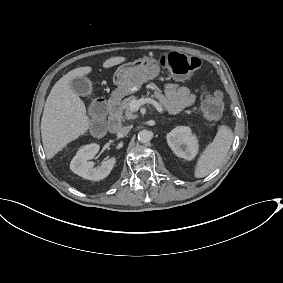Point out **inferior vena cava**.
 <instances>
[{
    "instance_id": "obj_1",
    "label": "inferior vena cava",
    "mask_w": 283,
    "mask_h": 283,
    "mask_svg": "<svg viewBox=\"0 0 283 283\" xmlns=\"http://www.w3.org/2000/svg\"><path fill=\"white\" fill-rule=\"evenodd\" d=\"M131 128H132V126H126V127L121 128V129L118 131L117 136H118V137H124V136H126V135L129 133V131H130Z\"/></svg>"
}]
</instances>
